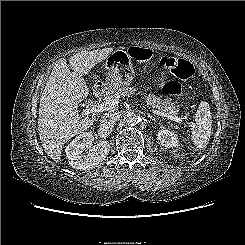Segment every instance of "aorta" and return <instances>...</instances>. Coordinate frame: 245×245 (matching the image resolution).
I'll return each mask as SVG.
<instances>
[{"label": "aorta", "instance_id": "aorta-1", "mask_svg": "<svg viewBox=\"0 0 245 245\" xmlns=\"http://www.w3.org/2000/svg\"><path fill=\"white\" fill-rule=\"evenodd\" d=\"M124 121L129 126H134L138 123V115L134 112H128L124 116Z\"/></svg>", "mask_w": 245, "mask_h": 245}]
</instances>
